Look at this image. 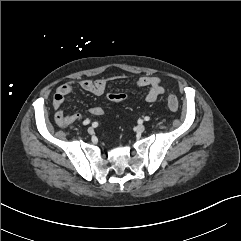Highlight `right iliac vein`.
<instances>
[{
	"instance_id": "63e3f726",
	"label": "right iliac vein",
	"mask_w": 241,
	"mask_h": 241,
	"mask_svg": "<svg viewBox=\"0 0 241 241\" xmlns=\"http://www.w3.org/2000/svg\"><path fill=\"white\" fill-rule=\"evenodd\" d=\"M87 131H88L89 134H93L94 129L92 127H89Z\"/></svg>"
}]
</instances>
